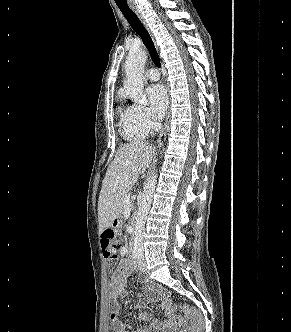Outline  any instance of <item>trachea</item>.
<instances>
[{
    "label": "trachea",
    "mask_w": 291,
    "mask_h": 332,
    "mask_svg": "<svg viewBox=\"0 0 291 332\" xmlns=\"http://www.w3.org/2000/svg\"><path fill=\"white\" fill-rule=\"evenodd\" d=\"M117 6L119 7V9L122 12V14L124 15V17L129 22V24L131 25L133 30L141 37L144 45L146 46V48L149 51V54H150L151 59L154 62V64L158 68H160L161 67L160 58L155 49L154 43H153L149 33L147 32V30L145 29V27L143 26V24L137 17V15L130 9L127 2L117 3Z\"/></svg>",
    "instance_id": "obj_1"
}]
</instances>
